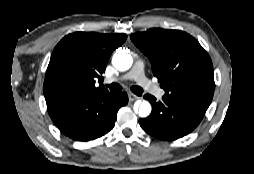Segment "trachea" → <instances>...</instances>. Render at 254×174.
I'll return each instance as SVG.
<instances>
[{
  "label": "trachea",
  "instance_id": "3493384b",
  "mask_svg": "<svg viewBox=\"0 0 254 174\" xmlns=\"http://www.w3.org/2000/svg\"><path fill=\"white\" fill-rule=\"evenodd\" d=\"M109 89H110V92L111 93H117V92H120L122 90V87L121 85L117 84V83H112L110 86H109ZM131 91L138 95V96H141L142 93H143V89L140 88L139 86H132L131 88Z\"/></svg>",
  "mask_w": 254,
  "mask_h": 174
}]
</instances>
